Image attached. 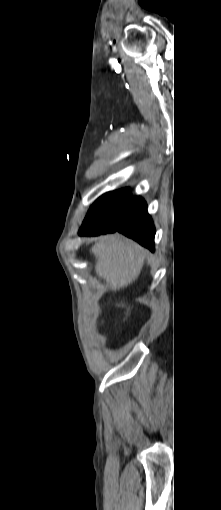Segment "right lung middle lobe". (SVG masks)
Here are the masks:
<instances>
[{
  "label": "right lung middle lobe",
  "instance_id": "obj_1",
  "mask_svg": "<svg viewBox=\"0 0 221 510\" xmlns=\"http://www.w3.org/2000/svg\"><path fill=\"white\" fill-rule=\"evenodd\" d=\"M130 198L129 188L109 192L97 199L91 208L101 216L118 220L123 216Z\"/></svg>",
  "mask_w": 221,
  "mask_h": 510
}]
</instances>
